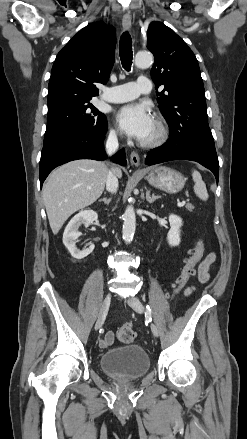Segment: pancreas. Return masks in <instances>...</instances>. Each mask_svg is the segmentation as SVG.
<instances>
[{
    "label": "pancreas",
    "mask_w": 247,
    "mask_h": 439,
    "mask_svg": "<svg viewBox=\"0 0 247 439\" xmlns=\"http://www.w3.org/2000/svg\"><path fill=\"white\" fill-rule=\"evenodd\" d=\"M186 208H187L188 211L192 212L193 209H194V206L192 204H187Z\"/></svg>",
    "instance_id": "1"
}]
</instances>
